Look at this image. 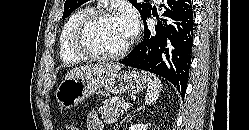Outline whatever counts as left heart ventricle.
Returning <instances> with one entry per match:
<instances>
[{"label": "left heart ventricle", "mask_w": 249, "mask_h": 130, "mask_svg": "<svg viewBox=\"0 0 249 130\" xmlns=\"http://www.w3.org/2000/svg\"><path fill=\"white\" fill-rule=\"evenodd\" d=\"M131 37L130 30L120 15L97 20L87 32L88 45L105 54L118 52Z\"/></svg>", "instance_id": "1"}]
</instances>
